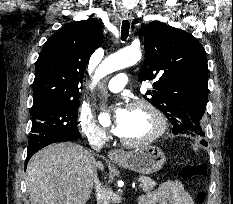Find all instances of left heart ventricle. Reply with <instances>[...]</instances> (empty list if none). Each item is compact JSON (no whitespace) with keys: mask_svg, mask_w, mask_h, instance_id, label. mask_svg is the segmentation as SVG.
<instances>
[{"mask_svg":"<svg viewBox=\"0 0 233 204\" xmlns=\"http://www.w3.org/2000/svg\"><path fill=\"white\" fill-rule=\"evenodd\" d=\"M156 127L154 117L145 108L127 109L126 121L120 136L128 140H139L151 135Z\"/></svg>","mask_w":233,"mask_h":204,"instance_id":"1","label":"left heart ventricle"}]
</instances>
